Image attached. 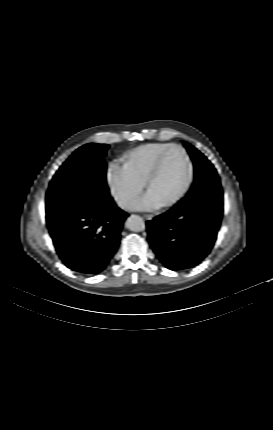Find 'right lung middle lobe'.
Listing matches in <instances>:
<instances>
[{
	"mask_svg": "<svg viewBox=\"0 0 273 430\" xmlns=\"http://www.w3.org/2000/svg\"><path fill=\"white\" fill-rule=\"evenodd\" d=\"M109 145L86 144L76 150L59 168L46 195V213L97 199L109 200L104 157Z\"/></svg>",
	"mask_w": 273,
	"mask_h": 430,
	"instance_id": "1",
	"label": "right lung middle lobe"
}]
</instances>
